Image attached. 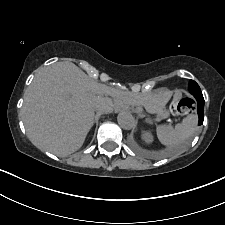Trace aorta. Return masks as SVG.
Wrapping results in <instances>:
<instances>
[{
	"mask_svg": "<svg viewBox=\"0 0 225 225\" xmlns=\"http://www.w3.org/2000/svg\"><path fill=\"white\" fill-rule=\"evenodd\" d=\"M117 121L119 126L124 130H132L135 128V119L129 112L119 113Z\"/></svg>",
	"mask_w": 225,
	"mask_h": 225,
	"instance_id": "1",
	"label": "aorta"
}]
</instances>
